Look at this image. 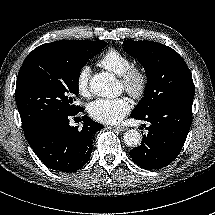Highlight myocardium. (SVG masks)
<instances>
[{"label": "myocardium", "instance_id": "obj_1", "mask_svg": "<svg viewBox=\"0 0 215 215\" xmlns=\"http://www.w3.org/2000/svg\"><path fill=\"white\" fill-rule=\"evenodd\" d=\"M120 82L133 99L141 100L148 92L150 78L144 66L133 64L120 75Z\"/></svg>", "mask_w": 215, "mask_h": 215}]
</instances>
